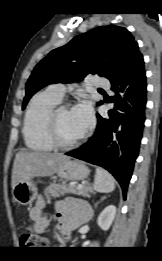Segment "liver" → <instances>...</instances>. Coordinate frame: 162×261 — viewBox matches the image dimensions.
Wrapping results in <instances>:
<instances>
[{"label": "liver", "mask_w": 162, "mask_h": 261, "mask_svg": "<svg viewBox=\"0 0 162 261\" xmlns=\"http://www.w3.org/2000/svg\"><path fill=\"white\" fill-rule=\"evenodd\" d=\"M68 159L70 158L62 153L18 152L12 170V189L17 183L33 177L55 174L60 165Z\"/></svg>", "instance_id": "1"}]
</instances>
